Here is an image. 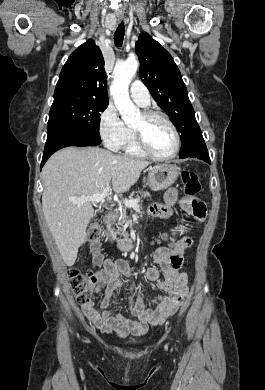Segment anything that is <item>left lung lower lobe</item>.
I'll use <instances>...</instances> for the list:
<instances>
[{
    "label": "left lung lower lobe",
    "instance_id": "left-lung-lower-lobe-1",
    "mask_svg": "<svg viewBox=\"0 0 265 390\" xmlns=\"http://www.w3.org/2000/svg\"><path fill=\"white\" fill-rule=\"evenodd\" d=\"M186 157L199 158L210 164V158L205 142L190 152Z\"/></svg>",
    "mask_w": 265,
    "mask_h": 390
}]
</instances>
